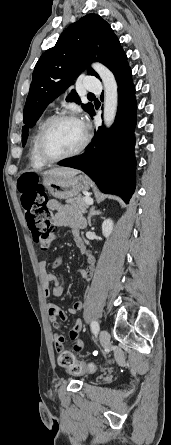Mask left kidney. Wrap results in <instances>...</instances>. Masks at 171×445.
I'll return each instance as SVG.
<instances>
[{
    "label": "left kidney",
    "mask_w": 171,
    "mask_h": 445,
    "mask_svg": "<svg viewBox=\"0 0 171 445\" xmlns=\"http://www.w3.org/2000/svg\"><path fill=\"white\" fill-rule=\"evenodd\" d=\"M114 223L111 219L104 220L102 224V234L107 238L113 231Z\"/></svg>",
    "instance_id": "left-kidney-1"
}]
</instances>
